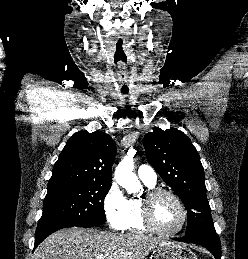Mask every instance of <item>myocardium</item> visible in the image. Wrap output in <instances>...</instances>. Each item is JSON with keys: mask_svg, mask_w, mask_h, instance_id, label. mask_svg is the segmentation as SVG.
I'll list each match as a JSON object with an SVG mask.
<instances>
[{"mask_svg": "<svg viewBox=\"0 0 248 259\" xmlns=\"http://www.w3.org/2000/svg\"><path fill=\"white\" fill-rule=\"evenodd\" d=\"M163 195L171 197L177 203V205L179 206V208L181 210L182 217H181L180 225L175 230H172V231H164V230L160 229L156 225L155 220H154V216H153L154 202L158 197L163 196ZM141 208H142V218H143L145 225L147 226V228L150 231H152L158 235H161L164 237L175 236L178 233H180L186 225L187 217H188L187 209H186L183 201L181 200V198L171 190L164 189V188L149 189L141 199Z\"/></svg>", "mask_w": 248, "mask_h": 259, "instance_id": "f54148a6", "label": "myocardium"}]
</instances>
